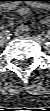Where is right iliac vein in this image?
Segmentation results:
<instances>
[{
    "mask_svg": "<svg viewBox=\"0 0 50 111\" xmlns=\"http://www.w3.org/2000/svg\"><path fill=\"white\" fill-rule=\"evenodd\" d=\"M0 43H1V44H6V43H7L6 36L4 35L3 32H2L1 35H0Z\"/></svg>",
    "mask_w": 50,
    "mask_h": 111,
    "instance_id": "right-iliac-vein-1",
    "label": "right iliac vein"
}]
</instances>
